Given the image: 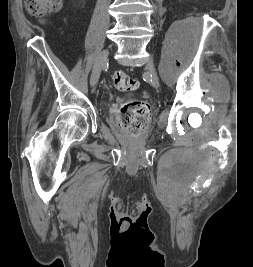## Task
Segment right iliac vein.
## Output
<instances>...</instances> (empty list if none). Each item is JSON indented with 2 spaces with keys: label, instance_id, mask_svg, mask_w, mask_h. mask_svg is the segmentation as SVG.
<instances>
[{
  "label": "right iliac vein",
  "instance_id": "1",
  "mask_svg": "<svg viewBox=\"0 0 253 267\" xmlns=\"http://www.w3.org/2000/svg\"><path fill=\"white\" fill-rule=\"evenodd\" d=\"M109 55V50H103L97 57L96 62L94 64V68L91 75V84L94 86L98 82L100 72L102 68L105 66Z\"/></svg>",
  "mask_w": 253,
  "mask_h": 267
}]
</instances>
